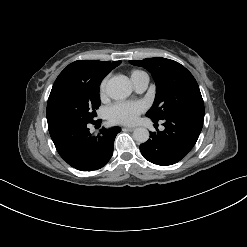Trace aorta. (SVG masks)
I'll return each mask as SVG.
<instances>
[{"mask_svg":"<svg viewBox=\"0 0 247 247\" xmlns=\"http://www.w3.org/2000/svg\"><path fill=\"white\" fill-rule=\"evenodd\" d=\"M106 93L111 99L121 100L132 93V88L125 79L113 77L107 83ZM133 138L138 143H145L149 139V131L144 127H138L133 132Z\"/></svg>","mask_w":247,"mask_h":247,"instance_id":"obj_1","label":"aorta"}]
</instances>
